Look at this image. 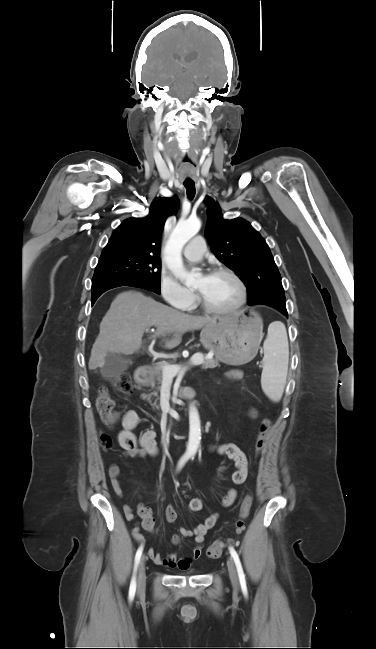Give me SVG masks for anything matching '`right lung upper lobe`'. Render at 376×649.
I'll return each instance as SVG.
<instances>
[{"instance_id":"obj_1","label":"right lung upper lobe","mask_w":376,"mask_h":649,"mask_svg":"<svg viewBox=\"0 0 376 649\" xmlns=\"http://www.w3.org/2000/svg\"><path fill=\"white\" fill-rule=\"evenodd\" d=\"M179 207L176 197L156 198L145 218H129L116 228L102 254L117 252L160 253L164 223Z\"/></svg>"}]
</instances>
